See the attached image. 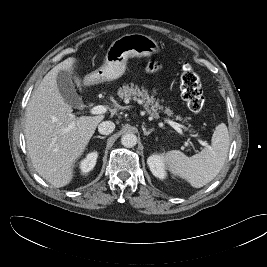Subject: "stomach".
<instances>
[{"instance_id": "0dacf381", "label": "stomach", "mask_w": 267, "mask_h": 267, "mask_svg": "<svg viewBox=\"0 0 267 267\" xmlns=\"http://www.w3.org/2000/svg\"><path fill=\"white\" fill-rule=\"evenodd\" d=\"M158 52V43L150 36L139 33L123 35L110 45L103 65L88 78L93 83L118 79L124 74L129 58L148 57Z\"/></svg>"}]
</instances>
